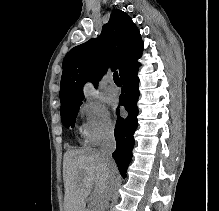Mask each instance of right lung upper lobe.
<instances>
[{"mask_svg": "<svg viewBox=\"0 0 219 211\" xmlns=\"http://www.w3.org/2000/svg\"><path fill=\"white\" fill-rule=\"evenodd\" d=\"M143 42L139 30L123 11L114 9L97 39L72 48L63 60L60 84L61 105L82 101L83 86L90 81L97 87L108 68L122 76L139 64Z\"/></svg>", "mask_w": 219, "mask_h": 211, "instance_id": "right-lung-upper-lobe-1", "label": "right lung upper lobe"}]
</instances>
